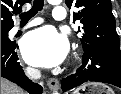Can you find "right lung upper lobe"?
<instances>
[{
  "label": "right lung upper lobe",
  "instance_id": "1",
  "mask_svg": "<svg viewBox=\"0 0 121 94\" xmlns=\"http://www.w3.org/2000/svg\"><path fill=\"white\" fill-rule=\"evenodd\" d=\"M31 0H1V30L11 29L13 24L12 13L22 11V5ZM13 9V11H11Z\"/></svg>",
  "mask_w": 121,
  "mask_h": 94
}]
</instances>
